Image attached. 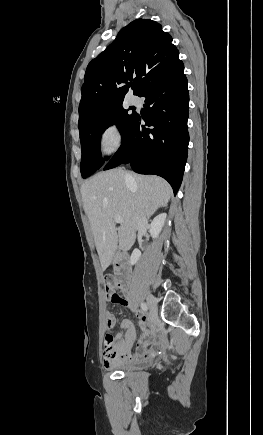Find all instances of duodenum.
<instances>
[{"mask_svg": "<svg viewBox=\"0 0 263 435\" xmlns=\"http://www.w3.org/2000/svg\"><path fill=\"white\" fill-rule=\"evenodd\" d=\"M116 271L119 277L120 286L126 290L128 282V262L125 254L119 253L115 258Z\"/></svg>", "mask_w": 263, "mask_h": 435, "instance_id": "410a0bca", "label": "duodenum"}]
</instances>
